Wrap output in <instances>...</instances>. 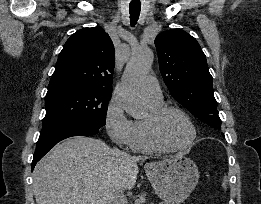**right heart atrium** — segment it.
I'll return each instance as SVG.
<instances>
[{
	"instance_id": "d8ad5b80",
	"label": "right heart atrium",
	"mask_w": 261,
	"mask_h": 204,
	"mask_svg": "<svg viewBox=\"0 0 261 204\" xmlns=\"http://www.w3.org/2000/svg\"><path fill=\"white\" fill-rule=\"evenodd\" d=\"M104 126L110 139L117 145L130 146L133 136V121L126 115L121 102L113 97L108 102Z\"/></svg>"
}]
</instances>
